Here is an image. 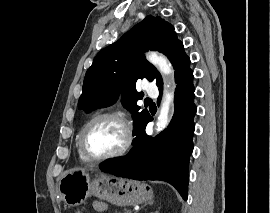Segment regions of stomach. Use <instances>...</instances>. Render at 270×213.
<instances>
[{
    "instance_id": "1",
    "label": "stomach",
    "mask_w": 270,
    "mask_h": 213,
    "mask_svg": "<svg viewBox=\"0 0 270 213\" xmlns=\"http://www.w3.org/2000/svg\"><path fill=\"white\" fill-rule=\"evenodd\" d=\"M58 191L61 200L69 207L79 206L90 196L118 206L146 203L153 197L151 187L145 183L84 169L64 172L58 183Z\"/></svg>"
}]
</instances>
